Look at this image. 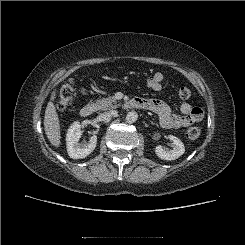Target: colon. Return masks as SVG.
<instances>
[{
    "instance_id": "1",
    "label": "colon",
    "mask_w": 245,
    "mask_h": 245,
    "mask_svg": "<svg viewBox=\"0 0 245 245\" xmlns=\"http://www.w3.org/2000/svg\"><path fill=\"white\" fill-rule=\"evenodd\" d=\"M76 86L74 82L69 81L65 83L60 91H59V98L56 103V107L60 111H64L68 109L71 104L73 103V100L76 97ZM179 97L182 99H187L190 97L191 92L187 87H181L179 89ZM200 136V129L198 127H191L187 131V137L191 140H195Z\"/></svg>"
}]
</instances>
